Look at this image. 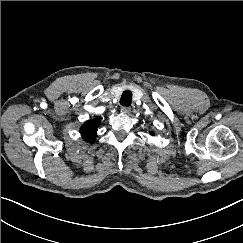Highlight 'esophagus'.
Instances as JSON below:
<instances>
[{"label": "esophagus", "mask_w": 243, "mask_h": 243, "mask_svg": "<svg viewBox=\"0 0 243 243\" xmlns=\"http://www.w3.org/2000/svg\"><path fill=\"white\" fill-rule=\"evenodd\" d=\"M130 111H131V108H130V107H122V108H121V112H122V113L127 114V113H129Z\"/></svg>", "instance_id": "esophagus-1"}]
</instances>
